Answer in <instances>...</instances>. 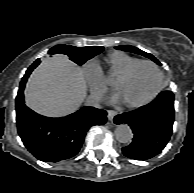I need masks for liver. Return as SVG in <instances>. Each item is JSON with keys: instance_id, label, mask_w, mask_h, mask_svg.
Returning <instances> with one entry per match:
<instances>
[{"instance_id": "6515ba94", "label": "liver", "mask_w": 194, "mask_h": 193, "mask_svg": "<svg viewBox=\"0 0 194 193\" xmlns=\"http://www.w3.org/2000/svg\"><path fill=\"white\" fill-rule=\"evenodd\" d=\"M81 68L64 56L44 60L31 74L25 88L26 105L35 112L61 117L76 111L86 98Z\"/></svg>"}]
</instances>
